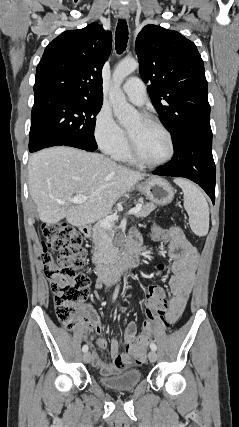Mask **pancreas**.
I'll list each match as a JSON object with an SVG mask.
<instances>
[{"mask_svg":"<svg viewBox=\"0 0 239 427\" xmlns=\"http://www.w3.org/2000/svg\"><path fill=\"white\" fill-rule=\"evenodd\" d=\"M142 209L135 214L137 218L147 217L153 210L156 209L153 203L142 202ZM114 236L113 229H104L99 224L93 228V243L95 244L94 250L96 257L103 261L109 257H112L115 253V249L112 245Z\"/></svg>","mask_w":239,"mask_h":427,"instance_id":"pancreas-1","label":"pancreas"}]
</instances>
